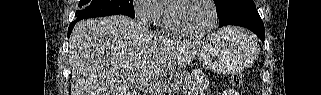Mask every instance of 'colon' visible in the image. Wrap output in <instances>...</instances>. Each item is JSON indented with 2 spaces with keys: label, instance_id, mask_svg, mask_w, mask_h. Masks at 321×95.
Listing matches in <instances>:
<instances>
[{
  "label": "colon",
  "instance_id": "1",
  "mask_svg": "<svg viewBox=\"0 0 321 95\" xmlns=\"http://www.w3.org/2000/svg\"><path fill=\"white\" fill-rule=\"evenodd\" d=\"M244 83V76L242 74H234L231 77V84L235 87H240Z\"/></svg>",
  "mask_w": 321,
  "mask_h": 95
}]
</instances>
